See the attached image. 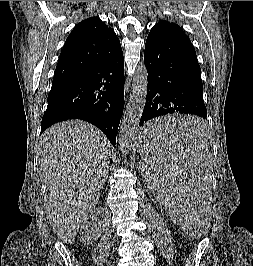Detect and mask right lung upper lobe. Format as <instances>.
I'll list each match as a JSON object with an SVG mask.
<instances>
[{
    "instance_id": "right-lung-upper-lobe-1",
    "label": "right lung upper lobe",
    "mask_w": 253,
    "mask_h": 266,
    "mask_svg": "<svg viewBox=\"0 0 253 266\" xmlns=\"http://www.w3.org/2000/svg\"><path fill=\"white\" fill-rule=\"evenodd\" d=\"M120 54L122 49L115 32L99 17L85 19L75 26L65 42L52 86L106 64Z\"/></svg>"
}]
</instances>
